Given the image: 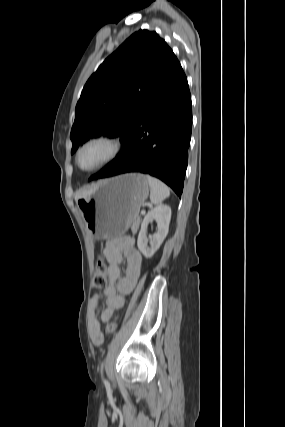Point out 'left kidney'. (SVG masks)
Returning a JSON list of instances; mask_svg holds the SVG:
<instances>
[{
  "label": "left kidney",
  "mask_w": 285,
  "mask_h": 427,
  "mask_svg": "<svg viewBox=\"0 0 285 427\" xmlns=\"http://www.w3.org/2000/svg\"><path fill=\"white\" fill-rule=\"evenodd\" d=\"M153 220L157 223V232L148 239L146 236L147 227ZM170 220L171 208L169 206H158L144 217L137 239V246L146 258L152 257L160 248L168 234ZM148 241H150V247H148Z\"/></svg>",
  "instance_id": "obj_1"
}]
</instances>
